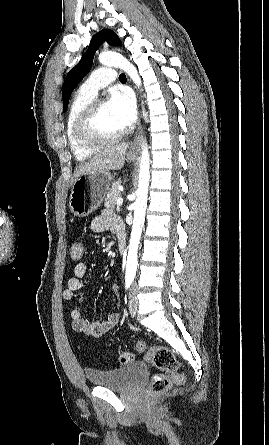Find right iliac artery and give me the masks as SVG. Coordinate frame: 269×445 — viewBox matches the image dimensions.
Segmentation results:
<instances>
[{
  "mask_svg": "<svg viewBox=\"0 0 269 445\" xmlns=\"http://www.w3.org/2000/svg\"><path fill=\"white\" fill-rule=\"evenodd\" d=\"M132 282H133V278L132 277H126V279H125V287H126V289L130 288Z\"/></svg>",
  "mask_w": 269,
  "mask_h": 445,
  "instance_id": "obj_1",
  "label": "right iliac artery"
}]
</instances>
